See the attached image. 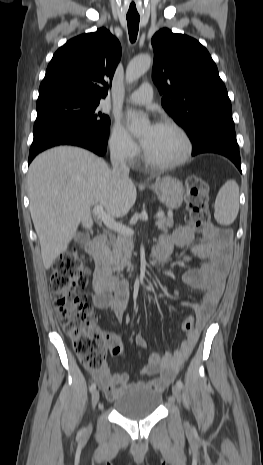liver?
I'll return each mask as SVG.
<instances>
[{"label":"liver","mask_w":263,"mask_h":465,"mask_svg":"<svg viewBox=\"0 0 263 465\" xmlns=\"http://www.w3.org/2000/svg\"><path fill=\"white\" fill-rule=\"evenodd\" d=\"M27 184L45 269L68 248L80 224L92 228L91 206L101 205L121 217L137 196L131 179H118L102 158L71 146L38 155L30 164Z\"/></svg>","instance_id":"obj_1"}]
</instances>
